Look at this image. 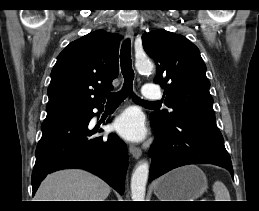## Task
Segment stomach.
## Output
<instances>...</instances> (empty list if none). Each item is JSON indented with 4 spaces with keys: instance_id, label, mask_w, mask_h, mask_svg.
<instances>
[{
    "instance_id": "1",
    "label": "stomach",
    "mask_w": 259,
    "mask_h": 211,
    "mask_svg": "<svg viewBox=\"0 0 259 211\" xmlns=\"http://www.w3.org/2000/svg\"><path fill=\"white\" fill-rule=\"evenodd\" d=\"M206 189V175L195 165L175 169L154 183V193L160 201H189L200 197Z\"/></svg>"
}]
</instances>
